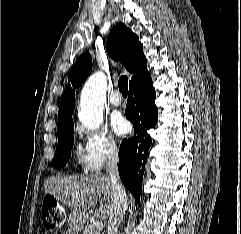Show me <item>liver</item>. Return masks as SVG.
<instances>
[{
    "instance_id": "liver-1",
    "label": "liver",
    "mask_w": 241,
    "mask_h": 234,
    "mask_svg": "<svg viewBox=\"0 0 241 234\" xmlns=\"http://www.w3.org/2000/svg\"><path fill=\"white\" fill-rule=\"evenodd\" d=\"M45 191L73 209L86 219L90 208L100 202L95 216L106 219L110 216L113 194L110 180L106 175L52 176L44 182Z\"/></svg>"
}]
</instances>
